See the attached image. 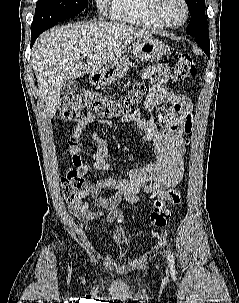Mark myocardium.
<instances>
[{
    "mask_svg": "<svg viewBox=\"0 0 239 303\" xmlns=\"http://www.w3.org/2000/svg\"><path fill=\"white\" fill-rule=\"evenodd\" d=\"M152 2L149 5V9L151 12V15L156 23H158L163 28H171L176 29L179 27H182L189 18V6L186 0H180V2L183 5L184 8V19L179 24H171L168 21L164 19L161 13V5L164 2V0H151Z\"/></svg>",
    "mask_w": 239,
    "mask_h": 303,
    "instance_id": "f54148a6",
    "label": "myocardium"
}]
</instances>
